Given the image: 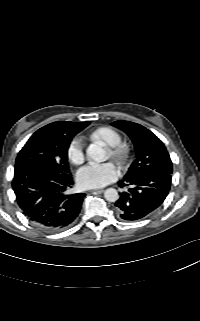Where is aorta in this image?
<instances>
[{
	"mask_svg": "<svg viewBox=\"0 0 200 321\" xmlns=\"http://www.w3.org/2000/svg\"><path fill=\"white\" fill-rule=\"evenodd\" d=\"M87 155L90 159L96 162H103L107 159L105 150L97 143L89 145L87 148ZM104 197L109 202H116L119 199V195L116 189L108 188L104 192Z\"/></svg>",
	"mask_w": 200,
	"mask_h": 321,
	"instance_id": "1",
	"label": "aorta"
}]
</instances>
